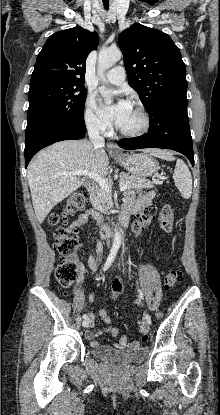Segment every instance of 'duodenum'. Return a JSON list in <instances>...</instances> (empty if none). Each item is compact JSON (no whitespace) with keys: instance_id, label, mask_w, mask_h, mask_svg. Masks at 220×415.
I'll return each instance as SVG.
<instances>
[{"instance_id":"1","label":"duodenum","mask_w":220,"mask_h":415,"mask_svg":"<svg viewBox=\"0 0 220 415\" xmlns=\"http://www.w3.org/2000/svg\"><path fill=\"white\" fill-rule=\"evenodd\" d=\"M87 191L90 194L95 193L96 186L94 184H90L87 187ZM130 215L131 214L129 212H124L121 214L120 220H119L121 230H124L128 226ZM118 231H119L118 227H111L103 222L100 223V233L103 239H109L111 237H114Z\"/></svg>"}]
</instances>
